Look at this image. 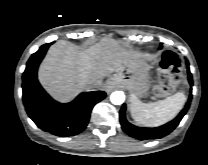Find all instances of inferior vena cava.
<instances>
[{"mask_svg":"<svg viewBox=\"0 0 208 165\" xmlns=\"http://www.w3.org/2000/svg\"><path fill=\"white\" fill-rule=\"evenodd\" d=\"M97 87V83L95 82H90L87 84V89H94Z\"/></svg>","mask_w":208,"mask_h":165,"instance_id":"602c4592","label":"inferior vena cava"}]
</instances>
